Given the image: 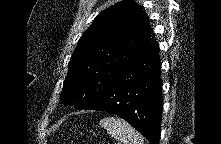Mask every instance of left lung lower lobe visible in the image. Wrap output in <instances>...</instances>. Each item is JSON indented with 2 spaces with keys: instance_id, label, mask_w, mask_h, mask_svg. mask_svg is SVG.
<instances>
[{
  "instance_id": "obj_1",
  "label": "left lung lower lobe",
  "mask_w": 221,
  "mask_h": 144,
  "mask_svg": "<svg viewBox=\"0 0 221 144\" xmlns=\"http://www.w3.org/2000/svg\"><path fill=\"white\" fill-rule=\"evenodd\" d=\"M159 46L149 45L112 81L104 94L87 110L116 114L151 144H159L162 119V80Z\"/></svg>"
}]
</instances>
